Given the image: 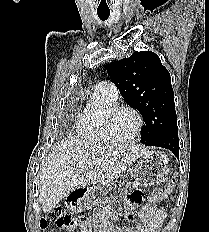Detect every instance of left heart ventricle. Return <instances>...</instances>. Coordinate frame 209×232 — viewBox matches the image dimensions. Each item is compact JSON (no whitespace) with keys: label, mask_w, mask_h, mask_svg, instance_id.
<instances>
[{"label":"left heart ventricle","mask_w":209,"mask_h":232,"mask_svg":"<svg viewBox=\"0 0 209 232\" xmlns=\"http://www.w3.org/2000/svg\"><path fill=\"white\" fill-rule=\"evenodd\" d=\"M137 126V120L133 113L121 111L115 115L111 122V131L117 138L129 137Z\"/></svg>","instance_id":"b2bd125f"}]
</instances>
